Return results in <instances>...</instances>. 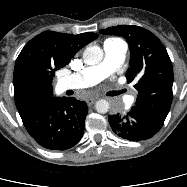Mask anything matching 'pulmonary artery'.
<instances>
[{
    "mask_svg": "<svg viewBox=\"0 0 187 187\" xmlns=\"http://www.w3.org/2000/svg\"><path fill=\"white\" fill-rule=\"evenodd\" d=\"M104 60L102 63L87 67L77 74L63 78L60 81L62 90L85 88L102 81L124 62L127 45L121 40L107 41L103 45Z\"/></svg>",
    "mask_w": 187,
    "mask_h": 187,
    "instance_id": "obj_1",
    "label": "pulmonary artery"
}]
</instances>
